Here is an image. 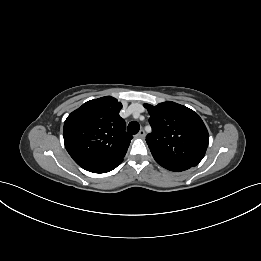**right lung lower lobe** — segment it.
I'll return each instance as SVG.
<instances>
[{
    "label": "right lung lower lobe",
    "instance_id": "98d812e1",
    "mask_svg": "<svg viewBox=\"0 0 261 261\" xmlns=\"http://www.w3.org/2000/svg\"><path fill=\"white\" fill-rule=\"evenodd\" d=\"M123 158L118 161L113 162H95L80 165L83 169L93 172V173H106L115 169L121 162Z\"/></svg>",
    "mask_w": 261,
    "mask_h": 261
}]
</instances>
